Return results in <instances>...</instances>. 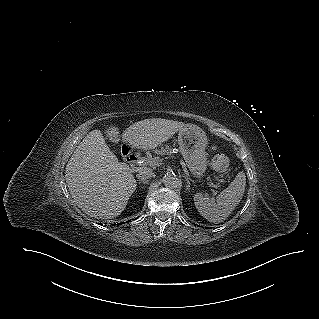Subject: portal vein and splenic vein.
Masks as SVG:
<instances>
[{"label": "portal vein and splenic vein", "instance_id": "obj_1", "mask_svg": "<svg viewBox=\"0 0 319 319\" xmlns=\"http://www.w3.org/2000/svg\"><path fill=\"white\" fill-rule=\"evenodd\" d=\"M148 163H149V161H145V162H144V164H148ZM134 170H135V169H133V171H134ZM212 186H213V187H216V186H215V185H213V184H212ZM213 193H214V194H216V192H215V191H213Z\"/></svg>", "mask_w": 319, "mask_h": 319}]
</instances>
